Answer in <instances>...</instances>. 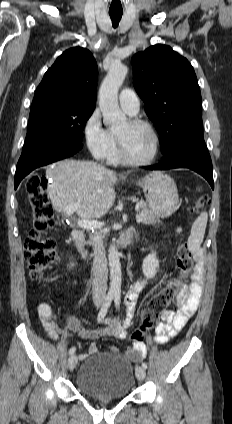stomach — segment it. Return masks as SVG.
<instances>
[{
    "mask_svg": "<svg viewBox=\"0 0 232 424\" xmlns=\"http://www.w3.org/2000/svg\"><path fill=\"white\" fill-rule=\"evenodd\" d=\"M136 184L142 187L149 208L158 217H169L179 208L177 187L170 176L152 172Z\"/></svg>",
    "mask_w": 232,
    "mask_h": 424,
    "instance_id": "1",
    "label": "stomach"
}]
</instances>
